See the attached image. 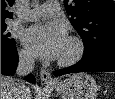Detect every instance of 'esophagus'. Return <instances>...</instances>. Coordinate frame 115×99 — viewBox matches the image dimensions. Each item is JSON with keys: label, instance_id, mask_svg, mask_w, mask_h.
Instances as JSON below:
<instances>
[{"label": "esophagus", "instance_id": "34e87169", "mask_svg": "<svg viewBox=\"0 0 115 99\" xmlns=\"http://www.w3.org/2000/svg\"><path fill=\"white\" fill-rule=\"evenodd\" d=\"M40 78L46 84H54L55 83V80L52 78L50 72L45 69L40 70Z\"/></svg>", "mask_w": 115, "mask_h": 99}]
</instances>
